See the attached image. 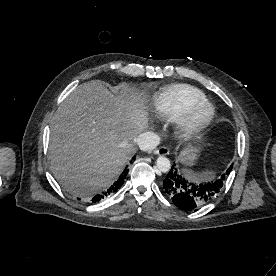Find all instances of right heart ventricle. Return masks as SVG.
<instances>
[{"mask_svg": "<svg viewBox=\"0 0 276 276\" xmlns=\"http://www.w3.org/2000/svg\"><path fill=\"white\" fill-rule=\"evenodd\" d=\"M201 101H206V97L200 90L190 85L177 84L159 92L153 105L162 118L178 121L191 105Z\"/></svg>", "mask_w": 276, "mask_h": 276, "instance_id": "1", "label": "right heart ventricle"}]
</instances>
